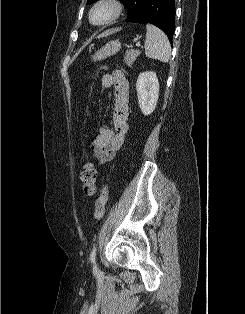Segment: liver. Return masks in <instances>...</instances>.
Listing matches in <instances>:
<instances>
[{
	"mask_svg": "<svg viewBox=\"0 0 245 314\" xmlns=\"http://www.w3.org/2000/svg\"><path fill=\"white\" fill-rule=\"evenodd\" d=\"M110 33H111V32L107 31V32L101 34L99 37H105V36L109 35Z\"/></svg>",
	"mask_w": 245,
	"mask_h": 314,
	"instance_id": "liver-1",
	"label": "liver"
}]
</instances>
